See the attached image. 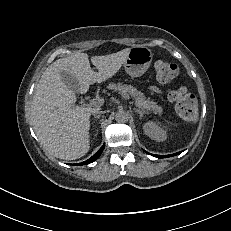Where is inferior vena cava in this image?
Here are the masks:
<instances>
[{
  "label": "inferior vena cava",
  "mask_w": 231,
  "mask_h": 231,
  "mask_svg": "<svg viewBox=\"0 0 231 231\" xmlns=\"http://www.w3.org/2000/svg\"><path fill=\"white\" fill-rule=\"evenodd\" d=\"M92 113H93V115L102 114V113H104V111L94 110Z\"/></svg>",
  "instance_id": "obj_1"
}]
</instances>
